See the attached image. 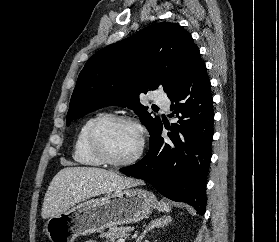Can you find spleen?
Here are the masks:
<instances>
[{
	"mask_svg": "<svg viewBox=\"0 0 279 242\" xmlns=\"http://www.w3.org/2000/svg\"><path fill=\"white\" fill-rule=\"evenodd\" d=\"M158 209H159L160 211H166V212H169V211H170V208H169L168 204L165 203V202H163V201H161V202L159 203Z\"/></svg>",
	"mask_w": 279,
	"mask_h": 242,
	"instance_id": "obj_1",
	"label": "spleen"
}]
</instances>
